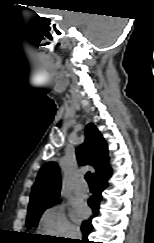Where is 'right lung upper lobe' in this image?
Masks as SVG:
<instances>
[{"label": "right lung upper lobe", "mask_w": 154, "mask_h": 243, "mask_svg": "<svg viewBox=\"0 0 154 243\" xmlns=\"http://www.w3.org/2000/svg\"><path fill=\"white\" fill-rule=\"evenodd\" d=\"M76 155L79 164L95 168L93 179L111 169L107 143L93 123L86 126L85 142L77 148ZM60 188L59 167L55 162H47L41 167L32 187L28 208L55 201L59 197Z\"/></svg>", "instance_id": "obj_1"}]
</instances>
